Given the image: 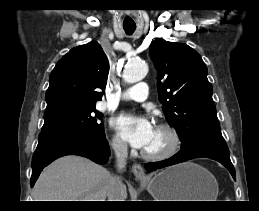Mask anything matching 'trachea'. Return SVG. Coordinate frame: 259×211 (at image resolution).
Segmentation results:
<instances>
[{
    "label": "trachea",
    "instance_id": "obj_1",
    "mask_svg": "<svg viewBox=\"0 0 259 211\" xmlns=\"http://www.w3.org/2000/svg\"><path fill=\"white\" fill-rule=\"evenodd\" d=\"M123 28H124L125 32H126L128 35H131V34H133V32L135 31L136 26H135V25H133V26H125V25H124Z\"/></svg>",
    "mask_w": 259,
    "mask_h": 211
}]
</instances>
